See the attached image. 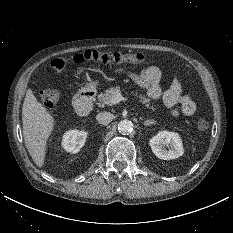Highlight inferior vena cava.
Masks as SVG:
<instances>
[{
	"instance_id": "602c4592",
	"label": "inferior vena cava",
	"mask_w": 233,
	"mask_h": 233,
	"mask_svg": "<svg viewBox=\"0 0 233 233\" xmlns=\"http://www.w3.org/2000/svg\"><path fill=\"white\" fill-rule=\"evenodd\" d=\"M96 119L99 124L107 125L112 121L113 115L110 112H101L97 114Z\"/></svg>"
}]
</instances>
